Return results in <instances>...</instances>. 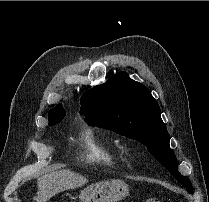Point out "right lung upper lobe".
Wrapping results in <instances>:
<instances>
[{
  "label": "right lung upper lobe",
  "instance_id": "right-lung-upper-lobe-1",
  "mask_svg": "<svg viewBox=\"0 0 209 202\" xmlns=\"http://www.w3.org/2000/svg\"><path fill=\"white\" fill-rule=\"evenodd\" d=\"M58 109H64L63 106H62V104H58L57 107L54 108V109H52V110H50L49 113H51V112H53V111H55V110H58ZM52 124H54V121H52V120L49 118V125L51 126Z\"/></svg>",
  "mask_w": 209,
  "mask_h": 202
}]
</instances>
